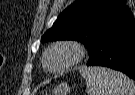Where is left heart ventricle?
Returning <instances> with one entry per match:
<instances>
[{"instance_id":"1","label":"left heart ventricle","mask_w":135,"mask_h":95,"mask_svg":"<svg viewBox=\"0 0 135 95\" xmlns=\"http://www.w3.org/2000/svg\"><path fill=\"white\" fill-rule=\"evenodd\" d=\"M73 57L71 50L59 48L51 52L46 60L49 69H57L66 65Z\"/></svg>"}]
</instances>
